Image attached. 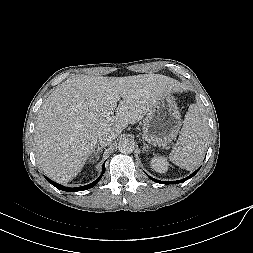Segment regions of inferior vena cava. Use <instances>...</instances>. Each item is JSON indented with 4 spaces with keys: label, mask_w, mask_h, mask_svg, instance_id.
I'll return each instance as SVG.
<instances>
[{
    "label": "inferior vena cava",
    "mask_w": 253,
    "mask_h": 253,
    "mask_svg": "<svg viewBox=\"0 0 253 253\" xmlns=\"http://www.w3.org/2000/svg\"><path fill=\"white\" fill-rule=\"evenodd\" d=\"M114 139H115V134L113 132L108 131V130H103V131L99 132V134H98V143L101 146L110 145Z\"/></svg>",
    "instance_id": "602c4592"
}]
</instances>
